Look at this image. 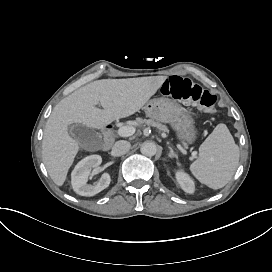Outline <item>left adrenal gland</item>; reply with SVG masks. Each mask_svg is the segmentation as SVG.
<instances>
[{
  "mask_svg": "<svg viewBox=\"0 0 272 272\" xmlns=\"http://www.w3.org/2000/svg\"><path fill=\"white\" fill-rule=\"evenodd\" d=\"M169 149H170V153L168 154V156L170 157V158H173V157H178V155L173 151V149L169 146L168 147Z\"/></svg>",
  "mask_w": 272,
  "mask_h": 272,
  "instance_id": "obj_1",
  "label": "left adrenal gland"
}]
</instances>
